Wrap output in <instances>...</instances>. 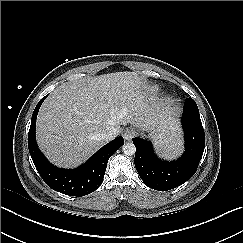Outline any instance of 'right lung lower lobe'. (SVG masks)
<instances>
[{"instance_id": "98d812e1", "label": "right lung lower lobe", "mask_w": 243, "mask_h": 243, "mask_svg": "<svg viewBox=\"0 0 243 243\" xmlns=\"http://www.w3.org/2000/svg\"><path fill=\"white\" fill-rule=\"evenodd\" d=\"M46 97L38 102L33 112L28 134V148L34 165L44 182L53 190L77 197L88 195L101 185L109 158L124 144V140L121 136L117 137L76 169L55 167L40 152L35 138L38 110Z\"/></svg>"}]
</instances>
